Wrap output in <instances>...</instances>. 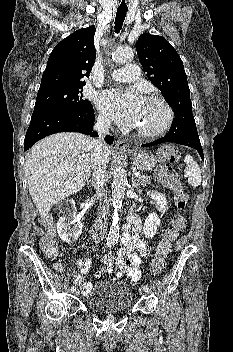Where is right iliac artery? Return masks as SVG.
<instances>
[{"mask_svg":"<svg viewBox=\"0 0 233 352\" xmlns=\"http://www.w3.org/2000/svg\"><path fill=\"white\" fill-rule=\"evenodd\" d=\"M71 290L74 292L76 290V287L75 286H72L71 287Z\"/></svg>","mask_w":233,"mask_h":352,"instance_id":"right-iliac-artery-1","label":"right iliac artery"}]
</instances>
